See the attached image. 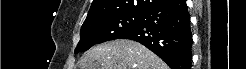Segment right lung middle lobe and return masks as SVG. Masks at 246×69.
<instances>
[{
  "mask_svg": "<svg viewBox=\"0 0 246 69\" xmlns=\"http://www.w3.org/2000/svg\"><path fill=\"white\" fill-rule=\"evenodd\" d=\"M141 19L142 14H121L84 22L75 53L86 51L95 44L119 39L126 31L136 27Z\"/></svg>",
  "mask_w": 246,
  "mask_h": 69,
  "instance_id": "obj_1",
  "label": "right lung middle lobe"
}]
</instances>
